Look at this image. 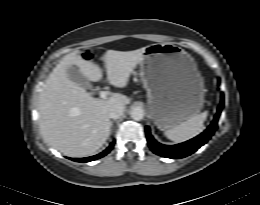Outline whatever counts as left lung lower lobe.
Listing matches in <instances>:
<instances>
[{"label":"left lung lower lobe","mask_w":260,"mask_h":205,"mask_svg":"<svg viewBox=\"0 0 260 205\" xmlns=\"http://www.w3.org/2000/svg\"><path fill=\"white\" fill-rule=\"evenodd\" d=\"M223 106H224V96L223 94H221L220 106L218 107L217 114L214 117V120L211 123V125L197 137L177 145L169 146V145H163L158 143L152 137L149 127H147L146 136H147L148 145L150 149L157 155H160L162 157L172 158V159L183 158L194 153L198 148H200L203 144H205L210 139V137L214 134V131L217 128V122Z\"/></svg>","instance_id":"0a47b994"}]
</instances>
